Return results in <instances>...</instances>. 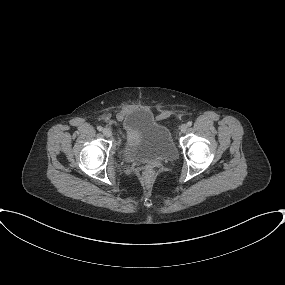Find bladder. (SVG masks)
I'll return each mask as SVG.
<instances>
[{"label": "bladder", "instance_id": "bladder-1", "mask_svg": "<svg viewBox=\"0 0 285 285\" xmlns=\"http://www.w3.org/2000/svg\"><path fill=\"white\" fill-rule=\"evenodd\" d=\"M123 154L131 161L173 160L177 149L170 130L143 109L130 112L122 122Z\"/></svg>", "mask_w": 285, "mask_h": 285}]
</instances>
